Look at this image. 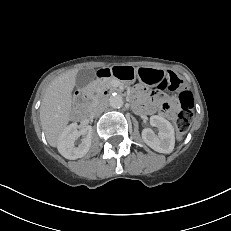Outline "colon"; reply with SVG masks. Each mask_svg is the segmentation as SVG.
Instances as JSON below:
<instances>
[{
	"mask_svg": "<svg viewBox=\"0 0 231 231\" xmlns=\"http://www.w3.org/2000/svg\"><path fill=\"white\" fill-rule=\"evenodd\" d=\"M143 77L144 79H147L149 75L144 72ZM170 88L178 92L177 101L180 105V112L174 119V125L178 138H182V136L187 132L193 117L194 98L191 91L185 89L182 81L175 75L170 78ZM161 109L163 111H169L172 109V104L164 101L161 103Z\"/></svg>",
	"mask_w": 231,
	"mask_h": 231,
	"instance_id": "colon-1",
	"label": "colon"
}]
</instances>
